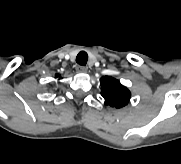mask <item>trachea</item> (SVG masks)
<instances>
[{
  "mask_svg": "<svg viewBox=\"0 0 181 164\" xmlns=\"http://www.w3.org/2000/svg\"><path fill=\"white\" fill-rule=\"evenodd\" d=\"M87 61H88V54L85 51L79 52L76 57V62L79 65L85 66L87 64Z\"/></svg>",
  "mask_w": 181,
  "mask_h": 164,
  "instance_id": "trachea-1",
  "label": "trachea"
}]
</instances>
